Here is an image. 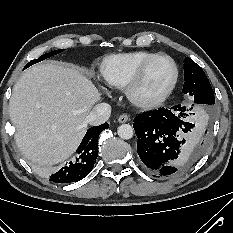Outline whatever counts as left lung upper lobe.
I'll use <instances>...</instances> for the list:
<instances>
[{"label": "left lung upper lobe", "mask_w": 233, "mask_h": 233, "mask_svg": "<svg viewBox=\"0 0 233 233\" xmlns=\"http://www.w3.org/2000/svg\"><path fill=\"white\" fill-rule=\"evenodd\" d=\"M184 80L182 92L194 96V103H215L212 87L204 71L188 57L184 60Z\"/></svg>", "instance_id": "5c2ea615"}]
</instances>
